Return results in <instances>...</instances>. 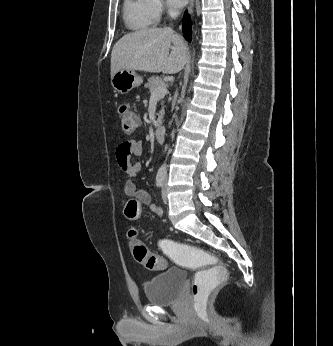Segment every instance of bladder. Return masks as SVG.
<instances>
[{
  "label": "bladder",
  "mask_w": 333,
  "mask_h": 346,
  "mask_svg": "<svg viewBox=\"0 0 333 346\" xmlns=\"http://www.w3.org/2000/svg\"><path fill=\"white\" fill-rule=\"evenodd\" d=\"M186 280L187 274L181 268H170L154 275L144 284L147 301L153 305H166L175 302Z\"/></svg>",
  "instance_id": "1"
}]
</instances>
